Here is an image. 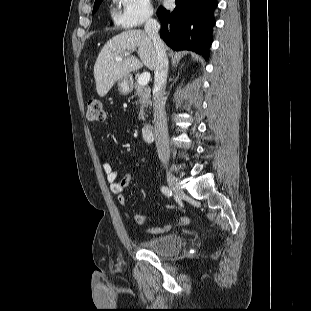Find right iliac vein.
Instances as JSON below:
<instances>
[{
    "label": "right iliac vein",
    "mask_w": 311,
    "mask_h": 311,
    "mask_svg": "<svg viewBox=\"0 0 311 311\" xmlns=\"http://www.w3.org/2000/svg\"><path fill=\"white\" fill-rule=\"evenodd\" d=\"M166 175H167V182H168L169 187L174 191V193L177 196L183 197L184 192H183L177 178L175 177V175L169 170H167Z\"/></svg>",
    "instance_id": "1"
}]
</instances>
